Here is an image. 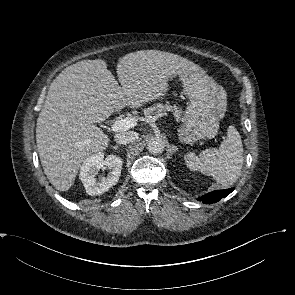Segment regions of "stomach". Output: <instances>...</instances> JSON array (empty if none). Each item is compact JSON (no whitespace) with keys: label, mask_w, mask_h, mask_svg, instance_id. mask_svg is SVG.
<instances>
[{"label":"stomach","mask_w":295,"mask_h":295,"mask_svg":"<svg viewBox=\"0 0 295 295\" xmlns=\"http://www.w3.org/2000/svg\"><path fill=\"white\" fill-rule=\"evenodd\" d=\"M184 94L190 99L183 123L178 130L182 142L192 144L211 139L219 129V120L226 109L227 96L221 85L204 72H190L178 76Z\"/></svg>","instance_id":"1"}]
</instances>
